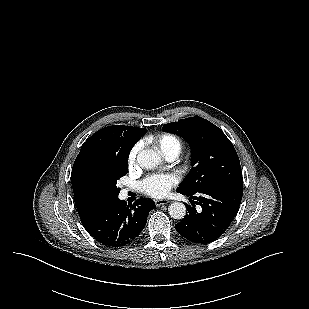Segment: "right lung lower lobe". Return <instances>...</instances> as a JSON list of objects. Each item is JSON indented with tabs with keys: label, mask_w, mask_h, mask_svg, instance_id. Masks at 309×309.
Instances as JSON below:
<instances>
[{
	"label": "right lung lower lobe",
	"mask_w": 309,
	"mask_h": 309,
	"mask_svg": "<svg viewBox=\"0 0 309 309\" xmlns=\"http://www.w3.org/2000/svg\"><path fill=\"white\" fill-rule=\"evenodd\" d=\"M155 208L151 199H139L127 205L118 197L100 202L80 214L87 232L107 247L130 244L146 225L149 212Z\"/></svg>",
	"instance_id": "right-lung-lower-lobe-1"
}]
</instances>
